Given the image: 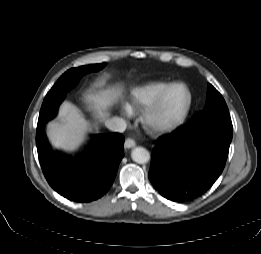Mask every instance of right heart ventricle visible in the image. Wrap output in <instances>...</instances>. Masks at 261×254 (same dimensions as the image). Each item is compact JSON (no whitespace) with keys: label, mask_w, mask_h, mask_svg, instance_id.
<instances>
[{"label":"right heart ventricle","mask_w":261,"mask_h":254,"mask_svg":"<svg viewBox=\"0 0 261 254\" xmlns=\"http://www.w3.org/2000/svg\"><path fill=\"white\" fill-rule=\"evenodd\" d=\"M169 85L166 82H149L133 89L128 106L129 110L138 112L149 108Z\"/></svg>","instance_id":"obj_1"}]
</instances>
